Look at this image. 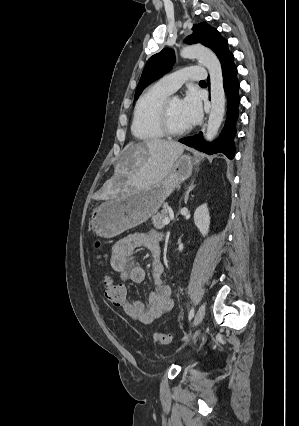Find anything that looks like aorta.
I'll return each instance as SVG.
<instances>
[{
	"label": "aorta",
	"mask_w": 299,
	"mask_h": 426,
	"mask_svg": "<svg viewBox=\"0 0 299 426\" xmlns=\"http://www.w3.org/2000/svg\"><path fill=\"white\" fill-rule=\"evenodd\" d=\"M180 55L186 59H197L209 72L211 112L205 139L212 141L218 133L225 113V92L220 61L210 49L201 45L186 46L181 50Z\"/></svg>",
	"instance_id": "1"
}]
</instances>
